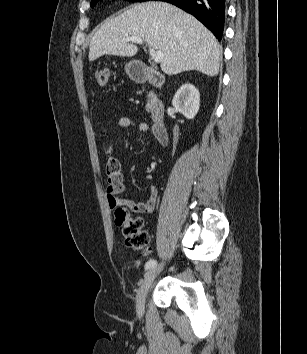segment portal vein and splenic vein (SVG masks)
Segmentation results:
<instances>
[{
  "mask_svg": "<svg viewBox=\"0 0 307 354\" xmlns=\"http://www.w3.org/2000/svg\"><path fill=\"white\" fill-rule=\"evenodd\" d=\"M124 41L126 42H133V43H136V44H142L143 41L141 38L139 37H135V36H127ZM149 54L151 56V59L155 62V63H160L161 60L163 59L164 57V54L162 51H155L153 48H149Z\"/></svg>",
  "mask_w": 307,
  "mask_h": 354,
  "instance_id": "18ae733b",
  "label": "portal vein and splenic vein"
}]
</instances>
